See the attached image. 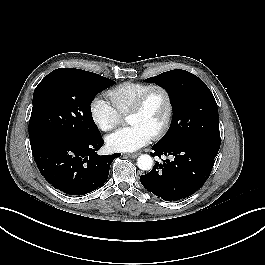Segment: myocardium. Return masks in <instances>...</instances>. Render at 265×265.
<instances>
[{
	"mask_svg": "<svg viewBox=\"0 0 265 265\" xmlns=\"http://www.w3.org/2000/svg\"><path fill=\"white\" fill-rule=\"evenodd\" d=\"M154 92L162 93L166 99V104H167L166 113H165V116L163 118V121L161 122L159 127L155 130V132L152 134V137L157 139V138H160L162 135H164V133L168 130V128L171 124L172 118H173V114H174L173 98H172L170 91L166 87H164L162 85H158V84L150 86L139 97V99L136 101V103L129 110L128 114H134V113L142 112L144 110V108L146 107L150 97L152 96V94Z\"/></svg>",
	"mask_w": 265,
	"mask_h": 265,
	"instance_id": "myocardium-1",
	"label": "myocardium"
}]
</instances>
